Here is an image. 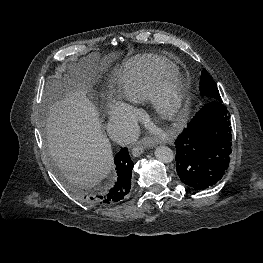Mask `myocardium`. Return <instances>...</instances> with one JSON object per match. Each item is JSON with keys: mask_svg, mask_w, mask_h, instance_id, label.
Listing matches in <instances>:
<instances>
[{"mask_svg": "<svg viewBox=\"0 0 263 263\" xmlns=\"http://www.w3.org/2000/svg\"><path fill=\"white\" fill-rule=\"evenodd\" d=\"M188 90L175 73L159 78L148 98L154 115L168 124L180 121L186 112Z\"/></svg>", "mask_w": 263, "mask_h": 263, "instance_id": "myocardium-1", "label": "myocardium"}]
</instances>
